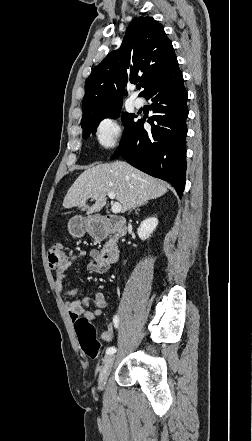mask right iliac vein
<instances>
[{"instance_id":"63e3f726","label":"right iliac vein","mask_w":252,"mask_h":441,"mask_svg":"<svg viewBox=\"0 0 252 441\" xmlns=\"http://www.w3.org/2000/svg\"><path fill=\"white\" fill-rule=\"evenodd\" d=\"M114 361H115L114 355L109 354V355L105 356L104 361H103V366H102L100 373H99L98 383H99L100 389H103V387L105 386L108 373H109L110 369L112 368Z\"/></svg>"}]
</instances>
